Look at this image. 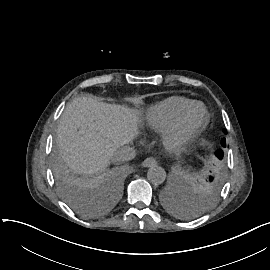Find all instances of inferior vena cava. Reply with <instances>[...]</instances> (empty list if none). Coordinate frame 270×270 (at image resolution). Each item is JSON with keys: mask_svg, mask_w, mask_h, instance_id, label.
I'll return each instance as SVG.
<instances>
[{"mask_svg": "<svg viewBox=\"0 0 270 270\" xmlns=\"http://www.w3.org/2000/svg\"><path fill=\"white\" fill-rule=\"evenodd\" d=\"M136 157V150L128 145L120 146L112 155L114 162L133 160Z\"/></svg>", "mask_w": 270, "mask_h": 270, "instance_id": "inferior-vena-cava-1", "label": "inferior vena cava"}]
</instances>
